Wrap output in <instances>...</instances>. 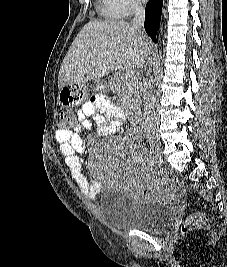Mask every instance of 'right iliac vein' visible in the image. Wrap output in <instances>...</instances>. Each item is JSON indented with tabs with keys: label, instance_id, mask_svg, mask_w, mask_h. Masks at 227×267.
I'll return each mask as SVG.
<instances>
[{
	"label": "right iliac vein",
	"instance_id": "63e3f726",
	"mask_svg": "<svg viewBox=\"0 0 227 267\" xmlns=\"http://www.w3.org/2000/svg\"><path fill=\"white\" fill-rule=\"evenodd\" d=\"M149 143H150V145H151V147H152L153 149H155L158 153L161 154V152H162V147H161V143H160V141H159L157 138H155V137H150V138H149Z\"/></svg>",
	"mask_w": 227,
	"mask_h": 267
}]
</instances>
